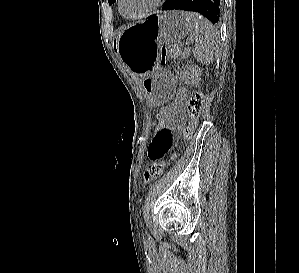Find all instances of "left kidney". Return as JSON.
I'll use <instances>...</instances> for the list:
<instances>
[{"label": "left kidney", "instance_id": "obj_1", "mask_svg": "<svg viewBox=\"0 0 299 273\" xmlns=\"http://www.w3.org/2000/svg\"><path fill=\"white\" fill-rule=\"evenodd\" d=\"M201 71L198 67H194L190 65L181 73V79L186 84H190L192 86H199Z\"/></svg>", "mask_w": 299, "mask_h": 273}]
</instances>
